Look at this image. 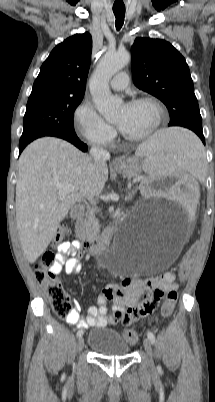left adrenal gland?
<instances>
[{"instance_id": "obj_1", "label": "left adrenal gland", "mask_w": 215, "mask_h": 402, "mask_svg": "<svg viewBox=\"0 0 215 402\" xmlns=\"http://www.w3.org/2000/svg\"><path fill=\"white\" fill-rule=\"evenodd\" d=\"M135 193H136V191L133 190L131 193L128 194L127 199H128V200H132V198H133V196L135 195Z\"/></svg>"}]
</instances>
